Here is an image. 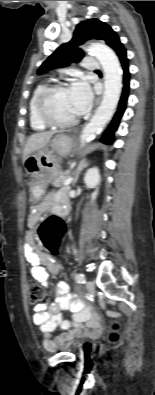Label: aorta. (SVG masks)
Segmentation results:
<instances>
[{"mask_svg": "<svg viewBox=\"0 0 155 395\" xmlns=\"http://www.w3.org/2000/svg\"><path fill=\"white\" fill-rule=\"evenodd\" d=\"M86 51L94 55L102 65L104 94L100 106L82 131L80 136L81 146L94 138L111 120L122 90V70L115 53L104 44H92Z\"/></svg>", "mask_w": 155, "mask_h": 395, "instance_id": "aorta-1", "label": "aorta"}]
</instances>
